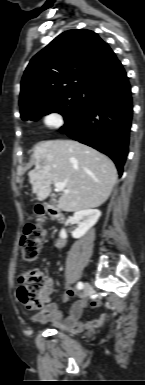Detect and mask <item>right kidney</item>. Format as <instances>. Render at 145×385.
<instances>
[{
  "label": "right kidney",
  "instance_id": "ca27d5eb",
  "mask_svg": "<svg viewBox=\"0 0 145 385\" xmlns=\"http://www.w3.org/2000/svg\"><path fill=\"white\" fill-rule=\"evenodd\" d=\"M100 216L101 212L97 209L77 211L74 214V220L77 222L78 227L72 232V237L78 239L84 236L97 223ZM60 236L66 238V232L62 230Z\"/></svg>",
  "mask_w": 145,
  "mask_h": 385
}]
</instances>
